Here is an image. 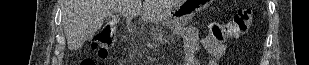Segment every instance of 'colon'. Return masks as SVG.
<instances>
[{
	"mask_svg": "<svg viewBox=\"0 0 309 65\" xmlns=\"http://www.w3.org/2000/svg\"><path fill=\"white\" fill-rule=\"evenodd\" d=\"M254 21L251 9H239L229 23H211L208 25L209 36L219 42L238 39L243 36ZM117 33L115 24H107L99 35L91 42V50L95 58H85L80 65H95V59L105 60L111 50Z\"/></svg>",
	"mask_w": 309,
	"mask_h": 65,
	"instance_id": "colon-1",
	"label": "colon"
}]
</instances>
